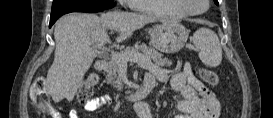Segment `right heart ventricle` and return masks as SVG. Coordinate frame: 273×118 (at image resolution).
<instances>
[{
  "instance_id": "right-heart-ventricle-1",
  "label": "right heart ventricle",
  "mask_w": 273,
  "mask_h": 118,
  "mask_svg": "<svg viewBox=\"0 0 273 118\" xmlns=\"http://www.w3.org/2000/svg\"><path fill=\"white\" fill-rule=\"evenodd\" d=\"M134 8L143 12L170 17H184L187 14L177 5L176 0H141L135 1Z\"/></svg>"
}]
</instances>
